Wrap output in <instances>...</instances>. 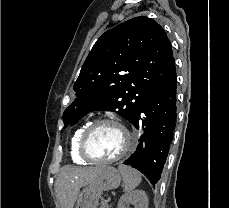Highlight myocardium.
<instances>
[{
	"instance_id": "f54148a6",
	"label": "myocardium",
	"mask_w": 229,
	"mask_h": 208,
	"mask_svg": "<svg viewBox=\"0 0 229 208\" xmlns=\"http://www.w3.org/2000/svg\"><path fill=\"white\" fill-rule=\"evenodd\" d=\"M106 124H112V125H115L121 128L126 133L128 137V142H124L125 149L120 154H118L117 157H111L110 160H94L93 157H90V152H87V148L89 147L88 139H90L92 133L97 128L103 125H106ZM135 143L136 142H135V137L133 133L126 126H124L121 122L115 119H100V120L94 121L91 124H89L88 127L84 130L81 136L80 143H79L78 153H81L80 154L81 158H87L88 160L92 162L113 163V162H116L126 157L133 150Z\"/></svg>"
}]
</instances>
